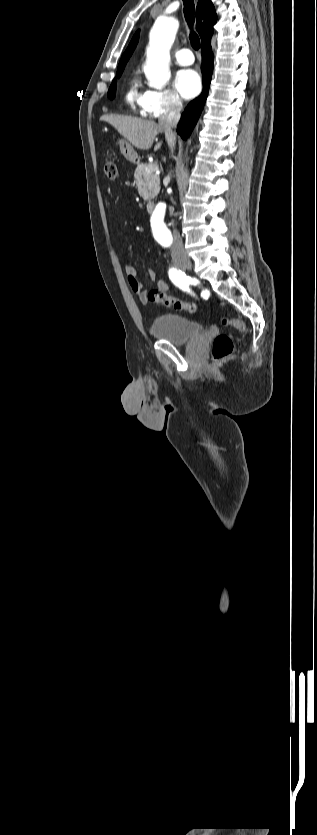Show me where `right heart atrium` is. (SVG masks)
<instances>
[{
	"label": "right heart atrium",
	"instance_id": "1",
	"mask_svg": "<svg viewBox=\"0 0 317 835\" xmlns=\"http://www.w3.org/2000/svg\"><path fill=\"white\" fill-rule=\"evenodd\" d=\"M179 96L170 89L147 90L142 101L143 114L151 119L178 113L182 109Z\"/></svg>",
	"mask_w": 317,
	"mask_h": 835
}]
</instances>
